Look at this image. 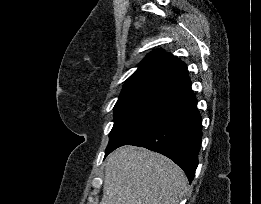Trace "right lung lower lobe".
<instances>
[{"instance_id":"98d812e1","label":"right lung lower lobe","mask_w":261,"mask_h":204,"mask_svg":"<svg viewBox=\"0 0 261 204\" xmlns=\"http://www.w3.org/2000/svg\"><path fill=\"white\" fill-rule=\"evenodd\" d=\"M202 118L197 100L187 82L173 90L144 119L130 129L105 156L123 145H135L172 159L191 183L198 165Z\"/></svg>"}]
</instances>
